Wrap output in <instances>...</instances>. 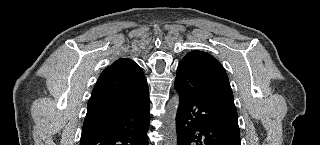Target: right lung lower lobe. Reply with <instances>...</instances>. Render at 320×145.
<instances>
[{
  "label": "right lung lower lobe",
  "mask_w": 320,
  "mask_h": 145,
  "mask_svg": "<svg viewBox=\"0 0 320 145\" xmlns=\"http://www.w3.org/2000/svg\"><path fill=\"white\" fill-rule=\"evenodd\" d=\"M123 108L83 123L80 145H148L150 123L147 82Z\"/></svg>",
  "instance_id": "obj_1"
}]
</instances>
